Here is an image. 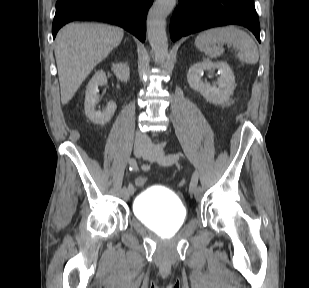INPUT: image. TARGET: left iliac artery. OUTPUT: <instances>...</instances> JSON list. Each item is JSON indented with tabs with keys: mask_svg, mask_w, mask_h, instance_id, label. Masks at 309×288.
Returning <instances> with one entry per match:
<instances>
[{
	"mask_svg": "<svg viewBox=\"0 0 309 288\" xmlns=\"http://www.w3.org/2000/svg\"><path fill=\"white\" fill-rule=\"evenodd\" d=\"M179 159V155L177 154H168L166 157L163 158L162 164L163 165H172ZM198 184V173L195 171L192 175L191 183L189 186V192L192 191L194 193ZM192 193V194H193Z\"/></svg>",
	"mask_w": 309,
	"mask_h": 288,
	"instance_id": "44dca946",
	"label": "left iliac artery"
}]
</instances>
